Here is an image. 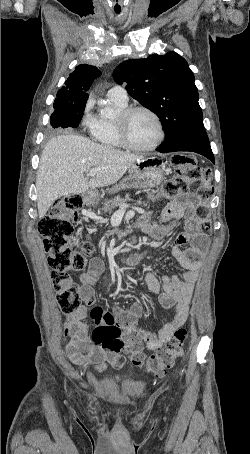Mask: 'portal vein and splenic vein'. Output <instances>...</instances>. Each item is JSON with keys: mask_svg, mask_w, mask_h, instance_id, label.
<instances>
[{"mask_svg": "<svg viewBox=\"0 0 250 454\" xmlns=\"http://www.w3.org/2000/svg\"><path fill=\"white\" fill-rule=\"evenodd\" d=\"M97 172H98V169H91V170L87 173V176H88V177H94V176L97 174ZM127 207H128V204H125V203L121 204V205L119 206L118 211H117L116 213H117L118 215H120V216H123L124 213H125V211H126V208H127Z\"/></svg>", "mask_w": 250, "mask_h": 454, "instance_id": "obj_1", "label": "portal vein and splenic vein"}]
</instances>
